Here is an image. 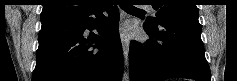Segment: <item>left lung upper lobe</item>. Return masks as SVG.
<instances>
[{
  "label": "left lung upper lobe",
  "instance_id": "left-lung-upper-lobe-1",
  "mask_svg": "<svg viewBox=\"0 0 237 81\" xmlns=\"http://www.w3.org/2000/svg\"><path fill=\"white\" fill-rule=\"evenodd\" d=\"M152 6L157 13L155 18L147 19L150 26L168 19L198 21L195 0H152Z\"/></svg>",
  "mask_w": 237,
  "mask_h": 81
}]
</instances>
